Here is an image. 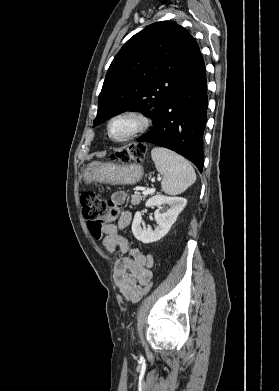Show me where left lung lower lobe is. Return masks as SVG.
I'll return each mask as SVG.
<instances>
[{
	"label": "left lung lower lobe",
	"instance_id": "obj_1",
	"mask_svg": "<svg viewBox=\"0 0 279 391\" xmlns=\"http://www.w3.org/2000/svg\"><path fill=\"white\" fill-rule=\"evenodd\" d=\"M207 80L203 58L168 99L152 130L138 139L169 148L194 163L202 172V139L207 122Z\"/></svg>",
	"mask_w": 279,
	"mask_h": 391
}]
</instances>
